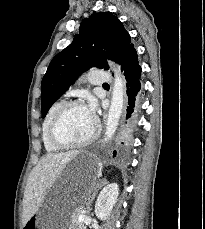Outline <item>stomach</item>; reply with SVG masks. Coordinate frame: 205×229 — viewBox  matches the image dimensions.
<instances>
[{
  "instance_id": "0dacf381",
  "label": "stomach",
  "mask_w": 205,
  "mask_h": 229,
  "mask_svg": "<svg viewBox=\"0 0 205 229\" xmlns=\"http://www.w3.org/2000/svg\"><path fill=\"white\" fill-rule=\"evenodd\" d=\"M97 174L93 154L82 152L62 173L38 211L24 224V229H72V218L84 195L92 189Z\"/></svg>"
}]
</instances>
